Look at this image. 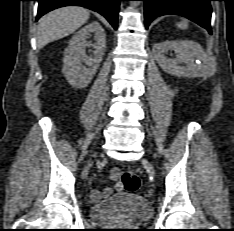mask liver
<instances>
[{"label":"liver","mask_w":234,"mask_h":231,"mask_svg":"<svg viewBox=\"0 0 234 231\" xmlns=\"http://www.w3.org/2000/svg\"><path fill=\"white\" fill-rule=\"evenodd\" d=\"M89 15L87 9L75 6L59 8L44 15L37 28L38 48L72 34L87 22Z\"/></svg>","instance_id":"obj_1"}]
</instances>
